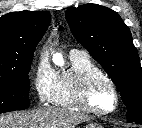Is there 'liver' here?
Instances as JSON below:
<instances>
[{"instance_id":"6515ba94","label":"liver","mask_w":142,"mask_h":128,"mask_svg":"<svg viewBox=\"0 0 142 128\" xmlns=\"http://www.w3.org/2000/svg\"><path fill=\"white\" fill-rule=\"evenodd\" d=\"M87 119L74 110L48 107L0 115V128H75Z\"/></svg>"}]
</instances>
